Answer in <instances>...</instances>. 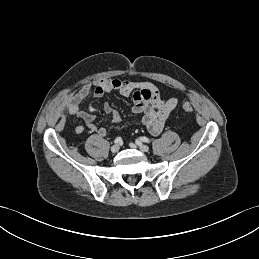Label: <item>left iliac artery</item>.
Masks as SVG:
<instances>
[{"label":"left iliac artery","instance_id":"obj_1","mask_svg":"<svg viewBox=\"0 0 259 259\" xmlns=\"http://www.w3.org/2000/svg\"><path fill=\"white\" fill-rule=\"evenodd\" d=\"M139 139L143 142L150 143V140L147 137H140Z\"/></svg>","mask_w":259,"mask_h":259}]
</instances>
